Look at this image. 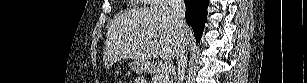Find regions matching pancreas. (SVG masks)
<instances>
[{"instance_id":"pancreas-1","label":"pancreas","mask_w":307,"mask_h":83,"mask_svg":"<svg viewBox=\"0 0 307 83\" xmlns=\"http://www.w3.org/2000/svg\"><path fill=\"white\" fill-rule=\"evenodd\" d=\"M153 83H169V76L162 72H156L153 77Z\"/></svg>"}]
</instances>
